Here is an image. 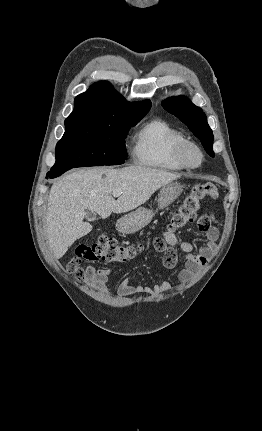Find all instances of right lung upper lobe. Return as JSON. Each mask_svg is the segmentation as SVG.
<instances>
[{
  "instance_id": "obj_1",
  "label": "right lung upper lobe",
  "mask_w": 262,
  "mask_h": 431,
  "mask_svg": "<svg viewBox=\"0 0 262 431\" xmlns=\"http://www.w3.org/2000/svg\"><path fill=\"white\" fill-rule=\"evenodd\" d=\"M151 102L126 101L107 81L93 84L85 93L75 98L74 110L65 124L82 121L106 122L115 119L145 116Z\"/></svg>"
}]
</instances>
